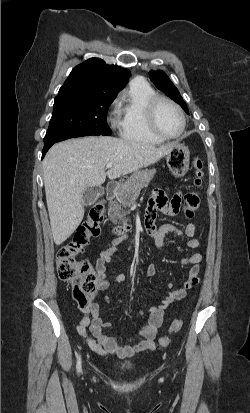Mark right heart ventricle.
Instances as JSON below:
<instances>
[{
    "label": "right heart ventricle",
    "mask_w": 250,
    "mask_h": 413,
    "mask_svg": "<svg viewBox=\"0 0 250 413\" xmlns=\"http://www.w3.org/2000/svg\"><path fill=\"white\" fill-rule=\"evenodd\" d=\"M156 95V91L142 79L130 83L120 104L119 129L123 139L145 144L163 141L149 131L146 121L147 104Z\"/></svg>",
    "instance_id": "1"
}]
</instances>
